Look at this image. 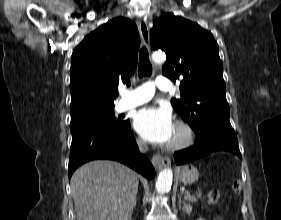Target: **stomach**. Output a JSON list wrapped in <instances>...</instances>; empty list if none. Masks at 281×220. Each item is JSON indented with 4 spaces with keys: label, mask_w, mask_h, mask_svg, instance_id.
I'll return each instance as SVG.
<instances>
[{
    "label": "stomach",
    "mask_w": 281,
    "mask_h": 220,
    "mask_svg": "<svg viewBox=\"0 0 281 220\" xmlns=\"http://www.w3.org/2000/svg\"><path fill=\"white\" fill-rule=\"evenodd\" d=\"M180 181L183 184H191L198 180L199 172L194 166H183L178 169Z\"/></svg>",
    "instance_id": "0dacf381"
}]
</instances>
